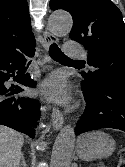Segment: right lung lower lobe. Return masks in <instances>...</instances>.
Listing matches in <instances>:
<instances>
[{
  "label": "right lung lower lobe",
  "instance_id": "1",
  "mask_svg": "<svg viewBox=\"0 0 125 167\" xmlns=\"http://www.w3.org/2000/svg\"><path fill=\"white\" fill-rule=\"evenodd\" d=\"M35 43L25 48L12 49L0 56V124L25 133L31 138L35 135V128L40 117L38 101L30 97L21 96L22 86L35 87L36 82L27 74H22L25 56L33 57ZM17 76L15 75V71ZM11 77L22 86L6 88L5 81Z\"/></svg>",
  "mask_w": 125,
  "mask_h": 167
}]
</instances>
